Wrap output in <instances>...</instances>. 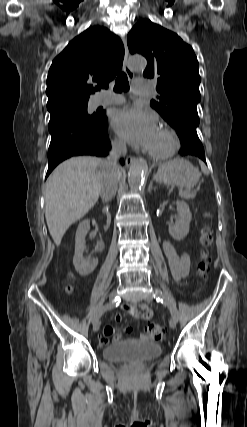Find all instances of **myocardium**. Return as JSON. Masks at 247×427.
I'll list each match as a JSON object with an SVG mask.
<instances>
[{
    "instance_id": "myocardium-1",
    "label": "myocardium",
    "mask_w": 247,
    "mask_h": 427,
    "mask_svg": "<svg viewBox=\"0 0 247 427\" xmlns=\"http://www.w3.org/2000/svg\"><path fill=\"white\" fill-rule=\"evenodd\" d=\"M159 129L167 136V145L162 149H148L147 154L155 160H164L171 157L177 151L179 140L177 134L171 127L161 125Z\"/></svg>"
}]
</instances>
